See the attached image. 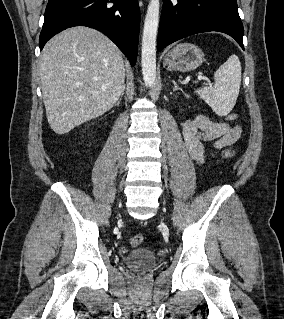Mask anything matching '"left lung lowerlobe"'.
Returning <instances> with one entry per match:
<instances>
[{"instance_id": "left-lung-lower-lobe-1", "label": "left lung lower lobe", "mask_w": 284, "mask_h": 319, "mask_svg": "<svg viewBox=\"0 0 284 319\" xmlns=\"http://www.w3.org/2000/svg\"><path fill=\"white\" fill-rule=\"evenodd\" d=\"M218 31L244 49V29L236 0H163L157 50L196 33Z\"/></svg>"}]
</instances>
